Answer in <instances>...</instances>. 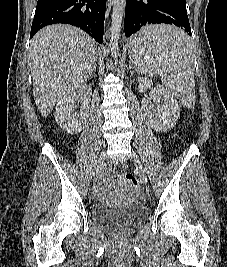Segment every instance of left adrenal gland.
I'll use <instances>...</instances> for the list:
<instances>
[{"instance_id": "left-adrenal-gland-1", "label": "left adrenal gland", "mask_w": 227, "mask_h": 267, "mask_svg": "<svg viewBox=\"0 0 227 267\" xmlns=\"http://www.w3.org/2000/svg\"><path fill=\"white\" fill-rule=\"evenodd\" d=\"M130 69H136L135 66H133L132 62L130 61V66H129Z\"/></svg>"}]
</instances>
